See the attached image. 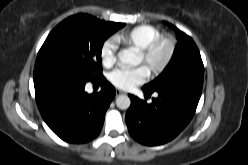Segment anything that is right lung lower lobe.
<instances>
[{"instance_id":"right-lung-lower-lobe-1","label":"right lung lower lobe","mask_w":248,"mask_h":165,"mask_svg":"<svg viewBox=\"0 0 248 165\" xmlns=\"http://www.w3.org/2000/svg\"><path fill=\"white\" fill-rule=\"evenodd\" d=\"M101 85V91L88 94L85 84ZM40 113L50 129L70 143H86L100 133L105 113L115 97V88L104 78L84 80L66 72L34 79Z\"/></svg>"}]
</instances>
